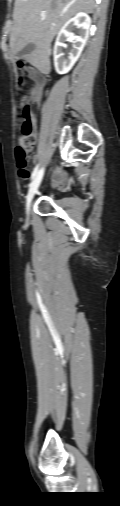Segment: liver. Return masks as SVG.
Instances as JSON below:
<instances>
[{
  "label": "liver",
  "instance_id": "6515ba94",
  "mask_svg": "<svg viewBox=\"0 0 120 506\" xmlns=\"http://www.w3.org/2000/svg\"><path fill=\"white\" fill-rule=\"evenodd\" d=\"M95 0H15L10 48L14 55L33 43L24 58L42 72L50 71L46 51L61 27L79 12L93 13ZM45 14L42 18L41 14Z\"/></svg>",
  "mask_w": 120,
  "mask_h": 506
}]
</instances>
